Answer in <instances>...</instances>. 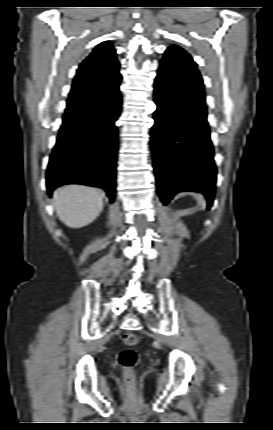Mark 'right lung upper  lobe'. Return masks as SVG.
<instances>
[{
  "label": "right lung upper lobe",
  "instance_id": "cb5924a9",
  "mask_svg": "<svg viewBox=\"0 0 273 430\" xmlns=\"http://www.w3.org/2000/svg\"><path fill=\"white\" fill-rule=\"evenodd\" d=\"M120 64L116 51L109 41H104L79 66L67 101L66 112L75 110L88 102L89 91L102 84V80L120 77Z\"/></svg>",
  "mask_w": 273,
  "mask_h": 430
}]
</instances>
